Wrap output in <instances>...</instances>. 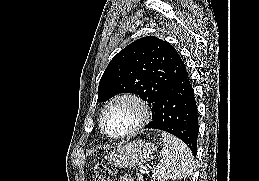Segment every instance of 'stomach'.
<instances>
[{
    "label": "stomach",
    "mask_w": 259,
    "mask_h": 181,
    "mask_svg": "<svg viewBox=\"0 0 259 181\" xmlns=\"http://www.w3.org/2000/svg\"><path fill=\"white\" fill-rule=\"evenodd\" d=\"M155 151L156 147L152 143L136 140L111 152L107 157L115 167L132 168L150 161Z\"/></svg>",
    "instance_id": "1"
}]
</instances>
